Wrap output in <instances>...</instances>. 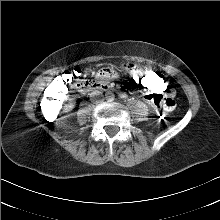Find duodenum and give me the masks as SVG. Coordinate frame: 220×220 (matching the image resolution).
Wrapping results in <instances>:
<instances>
[{"mask_svg":"<svg viewBox=\"0 0 220 220\" xmlns=\"http://www.w3.org/2000/svg\"><path fill=\"white\" fill-rule=\"evenodd\" d=\"M74 88L79 91H87L95 87L87 86L85 81L78 80L74 83Z\"/></svg>","mask_w":220,"mask_h":220,"instance_id":"410a0bca","label":"duodenum"}]
</instances>
